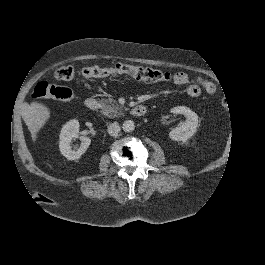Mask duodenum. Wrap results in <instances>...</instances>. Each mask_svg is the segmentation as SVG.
I'll list each match as a JSON object with an SVG mask.
<instances>
[{
  "label": "duodenum",
  "mask_w": 265,
  "mask_h": 265,
  "mask_svg": "<svg viewBox=\"0 0 265 265\" xmlns=\"http://www.w3.org/2000/svg\"><path fill=\"white\" fill-rule=\"evenodd\" d=\"M85 106L91 111H96L99 107V103L95 98L89 97L85 100ZM146 111L147 109L144 105H137L132 109L131 114L140 117L145 115Z\"/></svg>",
  "instance_id": "duodenum-1"
}]
</instances>
